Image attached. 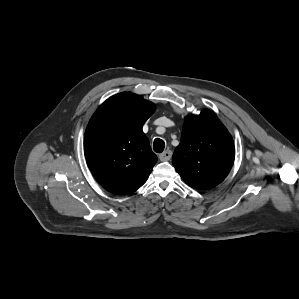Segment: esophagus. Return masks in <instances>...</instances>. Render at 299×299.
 Returning <instances> with one entry per match:
<instances>
[{
  "mask_svg": "<svg viewBox=\"0 0 299 299\" xmlns=\"http://www.w3.org/2000/svg\"><path fill=\"white\" fill-rule=\"evenodd\" d=\"M172 157V151L171 150H165L163 153L159 155V159L161 161H169Z\"/></svg>",
  "mask_w": 299,
  "mask_h": 299,
  "instance_id": "34e87169",
  "label": "esophagus"
}]
</instances>
